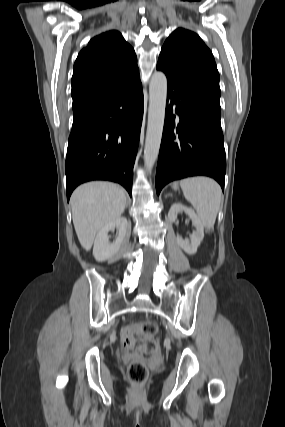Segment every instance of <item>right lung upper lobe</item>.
<instances>
[{"label": "right lung upper lobe", "instance_id": "obj_1", "mask_svg": "<svg viewBox=\"0 0 285 427\" xmlns=\"http://www.w3.org/2000/svg\"><path fill=\"white\" fill-rule=\"evenodd\" d=\"M139 75L134 49L115 30L90 40L73 68L72 106L110 90Z\"/></svg>", "mask_w": 285, "mask_h": 427}]
</instances>
